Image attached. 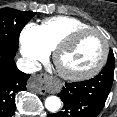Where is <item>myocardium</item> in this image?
Returning a JSON list of instances; mask_svg holds the SVG:
<instances>
[{
    "label": "myocardium",
    "instance_id": "myocardium-1",
    "mask_svg": "<svg viewBox=\"0 0 117 117\" xmlns=\"http://www.w3.org/2000/svg\"><path fill=\"white\" fill-rule=\"evenodd\" d=\"M85 33H94L101 37L103 41V53L101 58L99 59V61L95 66H93L91 69L84 72L74 73V72H69L64 70L60 65L61 56L66 50H68L73 45V43L76 41V39L79 36ZM108 55H109V42L105 34L97 28L86 27V28H79V29L73 30L68 35H66L54 49L53 60L59 74L63 78L71 81H82V80L92 78L93 76L98 74L101 71V69L104 67L108 59Z\"/></svg>",
    "mask_w": 117,
    "mask_h": 117
}]
</instances>
